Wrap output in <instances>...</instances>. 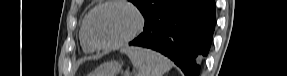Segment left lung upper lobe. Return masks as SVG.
I'll use <instances>...</instances> for the list:
<instances>
[{"mask_svg": "<svg viewBox=\"0 0 287 76\" xmlns=\"http://www.w3.org/2000/svg\"><path fill=\"white\" fill-rule=\"evenodd\" d=\"M131 1L140 12L144 15L145 21L149 19V17L162 9L165 5L170 3L173 0H129Z\"/></svg>", "mask_w": 287, "mask_h": 76, "instance_id": "left-lung-upper-lobe-1", "label": "left lung upper lobe"}]
</instances>
